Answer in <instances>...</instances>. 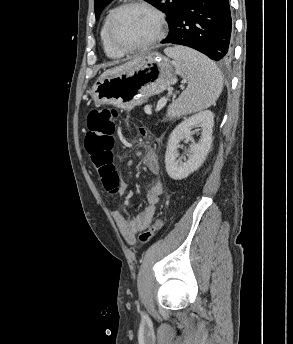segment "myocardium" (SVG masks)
Masks as SVG:
<instances>
[{"label": "myocardium", "mask_w": 293, "mask_h": 344, "mask_svg": "<svg viewBox=\"0 0 293 344\" xmlns=\"http://www.w3.org/2000/svg\"><path fill=\"white\" fill-rule=\"evenodd\" d=\"M132 7L145 9L154 16L156 20V32L149 40H147L146 42L142 44L135 45V46H125L117 41L115 37L114 27H115V22L118 15L123 10L132 8ZM165 32H166V20H165L164 14L159 9L145 2L144 0H127L126 2L116 7L110 15L108 28H107L108 40L110 44L112 45L114 49L122 53H134V52H139V51L149 49L150 47L157 44L159 41H161L164 38Z\"/></svg>", "instance_id": "f54148a6"}]
</instances>
